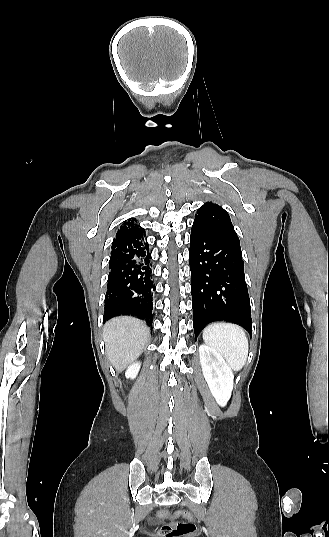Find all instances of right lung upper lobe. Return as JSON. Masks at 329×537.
<instances>
[{"instance_id": "right-lung-upper-lobe-1", "label": "right lung upper lobe", "mask_w": 329, "mask_h": 537, "mask_svg": "<svg viewBox=\"0 0 329 537\" xmlns=\"http://www.w3.org/2000/svg\"><path fill=\"white\" fill-rule=\"evenodd\" d=\"M135 221L136 219H129L127 222H124V224L119 228L114 240L129 237L143 230V228H139L136 224H134Z\"/></svg>"}]
</instances>
